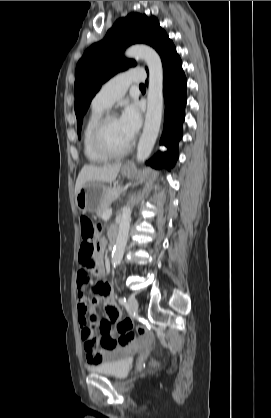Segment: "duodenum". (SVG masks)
<instances>
[{"mask_svg": "<svg viewBox=\"0 0 271 418\" xmlns=\"http://www.w3.org/2000/svg\"><path fill=\"white\" fill-rule=\"evenodd\" d=\"M117 241V231L115 229L112 230L110 235V249H112Z\"/></svg>", "mask_w": 271, "mask_h": 418, "instance_id": "1", "label": "duodenum"}]
</instances>
